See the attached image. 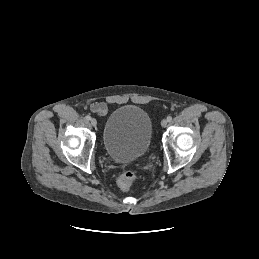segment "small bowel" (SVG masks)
Returning <instances> with one entry per match:
<instances>
[{"label": "small bowel", "instance_id": "1", "mask_svg": "<svg viewBox=\"0 0 259 259\" xmlns=\"http://www.w3.org/2000/svg\"><path fill=\"white\" fill-rule=\"evenodd\" d=\"M91 109L99 115H104L107 112V105L103 102H99L93 104Z\"/></svg>", "mask_w": 259, "mask_h": 259}]
</instances>
